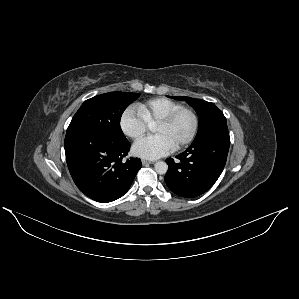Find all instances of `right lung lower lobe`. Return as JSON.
<instances>
[{"mask_svg":"<svg viewBox=\"0 0 299 299\" xmlns=\"http://www.w3.org/2000/svg\"><path fill=\"white\" fill-rule=\"evenodd\" d=\"M66 162L77 187L89 198L107 203L122 197L142 167L128 155L130 143L94 129L67 131Z\"/></svg>","mask_w":299,"mask_h":299,"instance_id":"right-lung-lower-lobe-1","label":"right lung lower lobe"}]
</instances>
